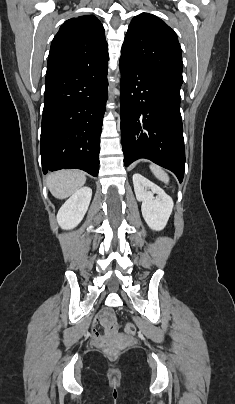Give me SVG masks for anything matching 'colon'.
I'll return each mask as SVG.
<instances>
[{"mask_svg": "<svg viewBox=\"0 0 235 404\" xmlns=\"http://www.w3.org/2000/svg\"><path fill=\"white\" fill-rule=\"evenodd\" d=\"M103 316L107 319V326L109 327L110 332L116 331L118 329V322L115 314L110 309H107L103 312ZM124 331L127 334H134L136 328L134 324L126 323L124 325ZM95 334H98V332L95 331Z\"/></svg>", "mask_w": 235, "mask_h": 404, "instance_id": "5ec220e1", "label": "colon"}]
</instances>
